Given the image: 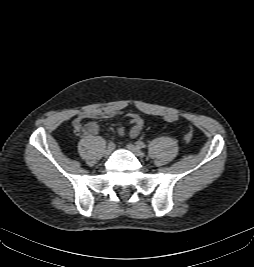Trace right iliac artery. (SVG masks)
<instances>
[{
  "label": "right iliac artery",
  "instance_id": "obj_1",
  "mask_svg": "<svg viewBox=\"0 0 254 267\" xmlns=\"http://www.w3.org/2000/svg\"><path fill=\"white\" fill-rule=\"evenodd\" d=\"M108 146H113V147H114V143H113L112 141H110V142L108 143Z\"/></svg>",
  "mask_w": 254,
  "mask_h": 267
}]
</instances>
